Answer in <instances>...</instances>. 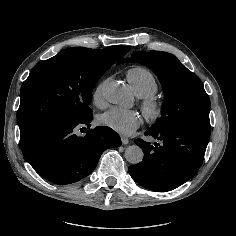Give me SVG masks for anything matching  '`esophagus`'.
I'll return each instance as SVG.
<instances>
[{"label": "esophagus", "instance_id": "obj_1", "mask_svg": "<svg viewBox=\"0 0 236 236\" xmlns=\"http://www.w3.org/2000/svg\"><path fill=\"white\" fill-rule=\"evenodd\" d=\"M121 141H122V144H123V145H126V144L129 143L128 138H126L125 136H121Z\"/></svg>", "mask_w": 236, "mask_h": 236}]
</instances>
